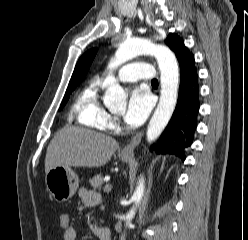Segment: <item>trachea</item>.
I'll return each instance as SVG.
<instances>
[{
  "label": "trachea",
  "mask_w": 248,
  "mask_h": 240,
  "mask_svg": "<svg viewBox=\"0 0 248 240\" xmlns=\"http://www.w3.org/2000/svg\"><path fill=\"white\" fill-rule=\"evenodd\" d=\"M151 83H152V84H158V80H157V79H153V80L151 81Z\"/></svg>",
  "instance_id": "obj_1"
}]
</instances>
